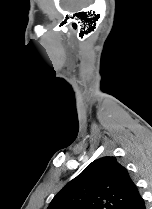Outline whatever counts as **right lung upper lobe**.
<instances>
[{"mask_svg":"<svg viewBox=\"0 0 152 209\" xmlns=\"http://www.w3.org/2000/svg\"><path fill=\"white\" fill-rule=\"evenodd\" d=\"M137 191L115 157H102L66 184L47 209H123Z\"/></svg>","mask_w":152,"mask_h":209,"instance_id":"cb5924a9","label":"right lung upper lobe"}]
</instances>
